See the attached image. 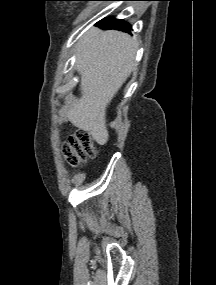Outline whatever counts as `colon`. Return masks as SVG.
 Here are the masks:
<instances>
[{
    "mask_svg": "<svg viewBox=\"0 0 216 285\" xmlns=\"http://www.w3.org/2000/svg\"><path fill=\"white\" fill-rule=\"evenodd\" d=\"M65 155L70 165H79L95 157L96 148L90 134L79 130L71 135L65 145Z\"/></svg>",
    "mask_w": 216,
    "mask_h": 285,
    "instance_id": "1",
    "label": "colon"
}]
</instances>
